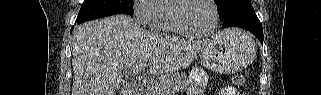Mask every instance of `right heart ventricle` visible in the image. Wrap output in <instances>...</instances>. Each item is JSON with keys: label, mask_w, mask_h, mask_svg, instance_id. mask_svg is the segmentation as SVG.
Wrapping results in <instances>:
<instances>
[{"label": "right heart ventricle", "mask_w": 321, "mask_h": 95, "mask_svg": "<svg viewBox=\"0 0 321 95\" xmlns=\"http://www.w3.org/2000/svg\"><path fill=\"white\" fill-rule=\"evenodd\" d=\"M175 0H159L155 5L154 15L149 22L150 29L154 31L183 34L177 31L169 21V12Z\"/></svg>", "instance_id": "e07e8e85"}]
</instances>
